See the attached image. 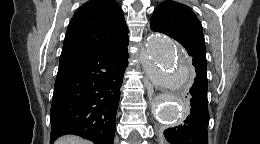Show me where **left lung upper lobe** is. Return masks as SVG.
<instances>
[{"label":"left lung upper lobe","mask_w":260,"mask_h":144,"mask_svg":"<svg viewBox=\"0 0 260 144\" xmlns=\"http://www.w3.org/2000/svg\"><path fill=\"white\" fill-rule=\"evenodd\" d=\"M150 27L153 31L164 33L178 41L187 52H197L205 59L202 25L188 6L175 1L162 2L154 10ZM197 63L199 67L206 69L205 61L200 60Z\"/></svg>","instance_id":"1"}]
</instances>
